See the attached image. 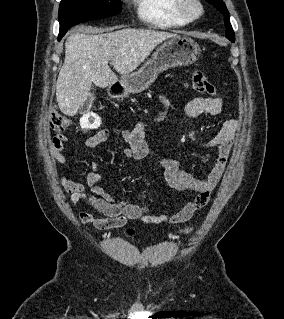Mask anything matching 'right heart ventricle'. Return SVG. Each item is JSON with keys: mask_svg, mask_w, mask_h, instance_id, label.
<instances>
[{"mask_svg": "<svg viewBox=\"0 0 284 319\" xmlns=\"http://www.w3.org/2000/svg\"><path fill=\"white\" fill-rule=\"evenodd\" d=\"M137 15L146 25L154 28H176L188 25L178 9V0H134Z\"/></svg>", "mask_w": 284, "mask_h": 319, "instance_id": "1", "label": "right heart ventricle"}]
</instances>
